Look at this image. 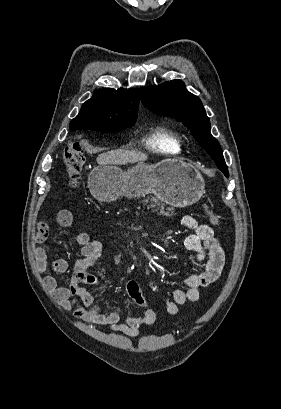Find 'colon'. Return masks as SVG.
<instances>
[{
    "mask_svg": "<svg viewBox=\"0 0 281 409\" xmlns=\"http://www.w3.org/2000/svg\"><path fill=\"white\" fill-rule=\"evenodd\" d=\"M63 163L67 176L70 178V180H74L78 176L85 163L81 145L72 143L68 148H66L64 152ZM207 215L212 224H219L220 218L216 212L208 209Z\"/></svg>",
    "mask_w": 281,
    "mask_h": 409,
    "instance_id": "colon-1",
    "label": "colon"
}]
</instances>
